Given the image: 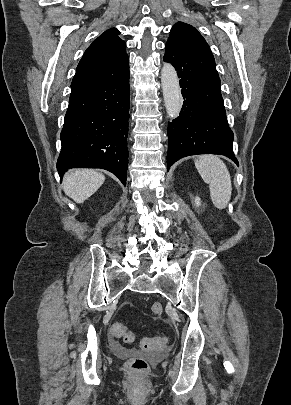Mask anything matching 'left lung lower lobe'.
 Returning <instances> with one entry per match:
<instances>
[{
	"mask_svg": "<svg viewBox=\"0 0 291 405\" xmlns=\"http://www.w3.org/2000/svg\"><path fill=\"white\" fill-rule=\"evenodd\" d=\"M165 48L163 60L176 69L185 99L180 115L168 123L167 171L195 154L224 155L238 165L212 53L169 40Z\"/></svg>",
	"mask_w": 291,
	"mask_h": 405,
	"instance_id": "0a47b994",
	"label": "left lung lower lobe"
}]
</instances>
